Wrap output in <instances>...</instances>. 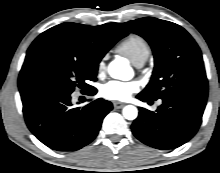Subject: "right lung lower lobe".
Wrapping results in <instances>:
<instances>
[{
  "label": "right lung lower lobe",
  "mask_w": 220,
  "mask_h": 173,
  "mask_svg": "<svg viewBox=\"0 0 220 173\" xmlns=\"http://www.w3.org/2000/svg\"><path fill=\"white\" fill-rule=\"evenodd\" d=\"M96 89L92 87L87 92ZM71 93L45 86L20 90L23 113L30 131L56 151H76L98 134L112 104L101 98L83 108H73Z\"/></svg>",
  "instance_id": "right-lung-lower-lobe-1"
}]
</instances>
